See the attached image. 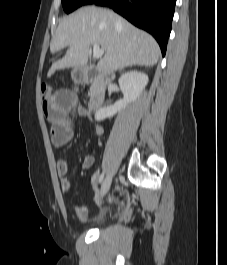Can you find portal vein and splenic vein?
<instances>
[{"instance_id":"obj_1","label":"portal vein and splenic vein","mask_w":227,"mask_h":265,"mask_svg":"<svg viewBox=\"0 0 227 265\" xmlns=\"http://www.w3.org/2000/svg\"><path fill=\"white\" fill-rule=\"evenodd\" d=\"M104 54V51L100 49L98 44L93 45V57L98 59L101 58Z\"/></svg>"}]
</instances>
